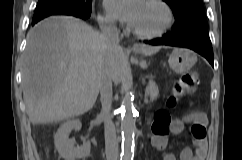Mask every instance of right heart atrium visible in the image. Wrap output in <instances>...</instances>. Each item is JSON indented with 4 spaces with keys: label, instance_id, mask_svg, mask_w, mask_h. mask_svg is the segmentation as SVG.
<instances>
[{
    "label": "right heart atrium",
    "instance_id": "right-heart-atrium-1",
    "mask_svg": "<svg viewBox=\"0 0 242 160\" xmlns=\"http://www.w3.org/2000/svg\"><path fill=\"white\" fill-rule=\"evenodd\" d=\"M99 22L103 27L106 28H112L115 25L114 20L108 15H100Z\"/></svg>",
    "mask_w": 242,
    "mask_h": 160
}]
</instances>
